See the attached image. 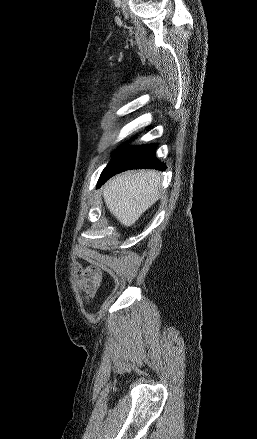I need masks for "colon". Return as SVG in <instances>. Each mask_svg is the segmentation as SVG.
<instances>
[{
  "mask_svg": "<svg viewBox=\"0 0 257 439\" xmlns=\"http://www.w3.org/2000/svg\"><path fill=\"white\" fill-rule=\"evenodd\" d=\"M77 277L87 295L93 296L96 294L102 282L101 273L97 269L88 268L81 270L77 273Z\"/></svg>",
  "mask_w": 257,
  "mask_h": 439,
  "instance_id": "colon-1",
  "label": "colon"
}]
</instances>
